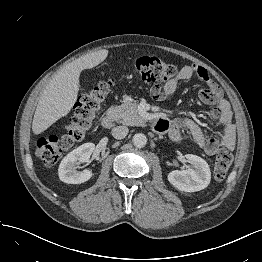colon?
Returning <instances> with one entry per match:
<instances>
[{
  "label": "colon",
  "instance_id": "1",
  "mask_svg": "<svg viewBox=\"0 0 262 262\" xmlns=\"http://www.w3.org/2000/svg\"><path fill=\"white\" fill-rule=\"evenodd\" d=\"M132 72L139 81L151 85L150 92L154 99H162L165 96V83L178 75V68L157 57H141L133 64ZM100 75L104 76L105 73ZM110 86L109 80L101 81L81 95L74 107L73 115L65 120L60 136H42L35 141L36 153L45 166L54 165L65 150L92 130L96 113ZM232 160V154L227 150H222L216 155L214 161L216 179H223L226 176Z\"/></svg>",
  "mask_w": 262,
  "mask_h": 262
}]
</instances>
